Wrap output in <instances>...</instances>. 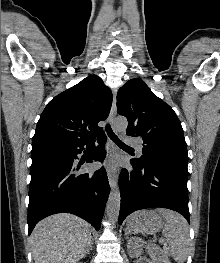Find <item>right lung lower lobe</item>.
Instances as JSON below:
<instances>
[{
	"mask_svg": "<svg viewBox=\"0 0 220 263\" xmlns=\"http://www.w3.org/2000/svg\"><path fill=\"white\" fill-rule=\"evenodd\" d=\"M94 141L65 147L32 149L31 182L29 187V235L43 218L60 212L75 214L91 223L96 230L104 214L110 188L105 169L78 173L75 159L84 145L90 147L86 162L103 161L106 136ZM84 162V161H83Z\"/></svg>",
	"mask_w": 220,
	"mask_h": 263,
	"instance_id": "1",
	"label": "right lung lower lobe"
}]
</instances>
